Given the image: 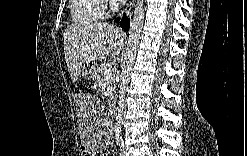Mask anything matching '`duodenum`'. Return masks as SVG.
Wrapping results in <instances>:
<instances>
[{"label":"duodenum","mask_w":247,"mask_h":156,"mask_svg":"<svg viewBox=\"0 0 247 156\" xmlns=\"http://www.w3.org/2000/svg\"><path fill=\"white\" fill-rule=\"evenodd\" d=\"M109 109H110L111 114L114 116L116 113V104H115V100L113 98L110 99Z\"/></svg>","instance_id":"obj_1"}]
</instances>
